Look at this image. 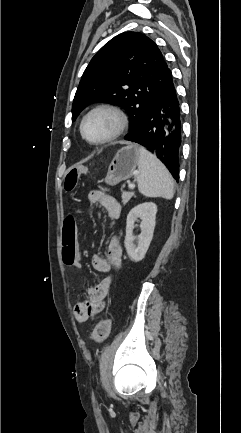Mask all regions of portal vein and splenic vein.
Masks as SVG:
<instances>
[{
    "label": "portal vein and splenic vein",
    "mask_w": 241,
    "mask_h": 433,
    "mask_svg": "<svg viewBox=\"0 0 241 433\" xmlns=\"http://www.w3.org/2000/svg\"><path fill=\"white\" fill-rule=\"evenodd\" d=\"M128 188L132 190L135 188V185L130 183V184H128Z\"/></svg>",
    "instance_id": "obj_1"
}]
</instances>
